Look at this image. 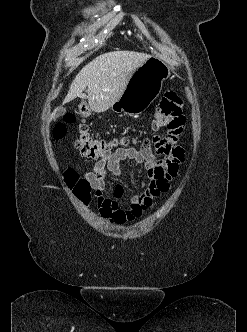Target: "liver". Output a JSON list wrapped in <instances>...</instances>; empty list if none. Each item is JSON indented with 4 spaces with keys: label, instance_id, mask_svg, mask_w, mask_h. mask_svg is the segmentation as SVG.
<instances>
[{
    "label": "liver",
    "instance_id": "obj_1",
    "mask_svg": "<svg viewBox=\"0 0 247 332\" xmlns=\"http://www.w3.org/2000/svg\"><path fill=\"white\" fill-rule=\"evenodd\" d=\"M150 55L134 51H112L93 59L76 75L63 103L80 97L88 99L90 109L104 112L116 102L124 92L133 72ZM87 87V95L83 91ZM60 108L51 114V119Z\"/></svg>",
    "mask_w": 247,
    "mask_h": 332
}]
</instances>
